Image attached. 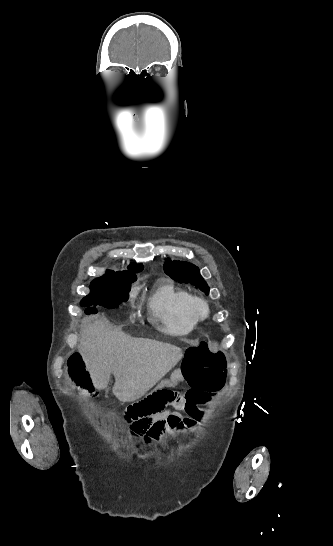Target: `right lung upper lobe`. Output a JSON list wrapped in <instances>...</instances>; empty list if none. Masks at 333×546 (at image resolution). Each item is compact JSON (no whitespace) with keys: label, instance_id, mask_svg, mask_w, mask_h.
I'll return each mask as SVG.
<instances>
[{"label":"right lung upper lobe","instance_id":"1","mask_svg":"<svg viewBox=\"0 0 333 546\" xmlns=\"http://www.w3.org/2000/svg\"><path fill=\"white\" fill-rule=\"evenodd\" d=\"M128 269H129V270H125V271H122V272H126L127 274H133V273L142 271V270H143V265H142V264H134V263H131V264L128 266Z\"/></svg>","mask_w":333,"mask_h":546}]
</instances>
